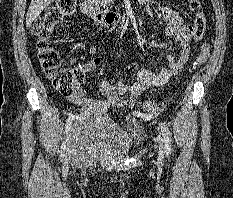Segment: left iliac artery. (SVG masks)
I'll return each instance as SVG.
<instances>
[{
    "mask_svg": "<svg viewBox=\"0 0 233 198\" xmlns=\"http://www.w3.org/2000/svg\"><path fill=\"white\" fill-rule=\"evenodd\" d=\"M161 132L164 140L165 152L166 155L169 156V154L171 153V139L165 127L161 126Z\"/></svg>",
    "mask_w": 233,
    "mask_h": 198,
    "instance_id": "obj_1",
    "label": "left iliac artery"
}]
</instances>
